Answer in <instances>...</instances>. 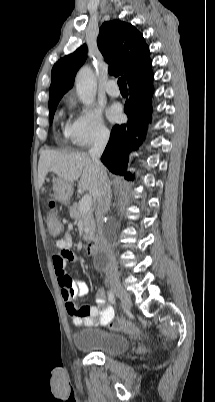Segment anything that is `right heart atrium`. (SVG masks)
<instances>
[{"label": "right heart atrium", "instance_id": "1", "mask_svg": "<svg viewBox=\"0 0 215 402\" xmlns=\"http://www.w3.org/2000/svg\"><path fill=\"white\" fill-rule=\"evenodd\" d=\"M67 130L72 143L81 148L102 143L109 136L101 112L91 107L80 108Z\"/></svg>", "mask_w": 215, "mask_h": 402}]
</instances>
